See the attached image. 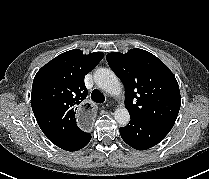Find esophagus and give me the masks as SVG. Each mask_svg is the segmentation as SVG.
Returning a JSON list of instances; mask_svg holds the SVG:
<instances>
[{"mask_svg": "<svg viewBox=\"0 0 209 179\" xmlns=\"http://www.w3.org/2000/svg\"><path fill=\"white\" fill-rule=\"evenodd\" d=\"M96 106L93 102H83L77 108L78 122L84 129H89L94 124L93 114Z\"/></svg>", "mask_w": 209, "mask_h": 179, "instance_id": "esophagus-1", "label": "esophagus"}]
</instances>
